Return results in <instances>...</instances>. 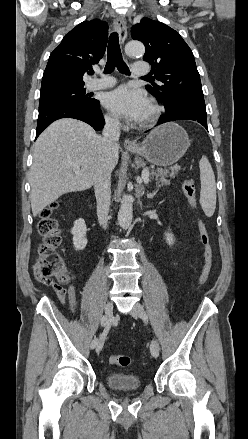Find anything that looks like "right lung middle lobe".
Listing matches in <instances>:
<instances>
[{"instance_id": "obj_1", "label": "right lung middle lobe", "mask_w": 248, "mask_h": 439, "mask_svg": "<svg viewBox=\"0 0 248 439\" xmlns=\"http://www.w3.org/2000/svg\"><path fill=\"white\" fill-rule=\"evenodd\" d=\"M94 101L95 99L91 98L89 94H86V91L82 86L40 96L39 112L59 105L70 103L91 104Z\"/></svg>"}]
</instances>
